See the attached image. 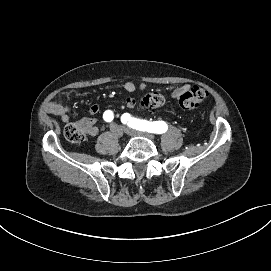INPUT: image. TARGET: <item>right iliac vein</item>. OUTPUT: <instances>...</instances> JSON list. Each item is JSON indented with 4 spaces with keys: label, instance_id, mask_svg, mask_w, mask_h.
I'll return each mask as SVG.
<instances>
[{
    "label": "right iliac vein",
    "instance_id": "63e3f726",
    "mask_svg": "<svg viewBox=\"0 0 271 271\" xmlns=\"http://www.w3.org/2000/svg\"><path fill=\"white\" fill-rule=\"evenodd\" d=\"M110 131L119 138L123 135V129L117 124H113Z\"/></svg>",
    "mask_w": 271,
    "mask_h": 271
}]
</instances>
